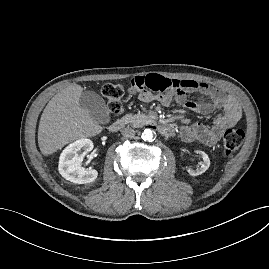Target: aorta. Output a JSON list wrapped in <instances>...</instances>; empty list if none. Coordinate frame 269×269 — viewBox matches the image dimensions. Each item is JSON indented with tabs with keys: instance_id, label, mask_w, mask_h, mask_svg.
<instances>
[{
	"instance_id": "aorta-1",
	"label": "aorta",
	"mask_w": 269,
	"mask_h": 269,
	"mask_svg": "<svg viewBox=\"0 0 269 269\" xmlns=\"http://www.w3.org/2000/svg\"><path fill=\"white\" fill-rule=\"evenodd\" d=\"M153 137V131L149 128L145 129L142 133V139L144 141H152Z\"/></svg>"
}]
</instances>
